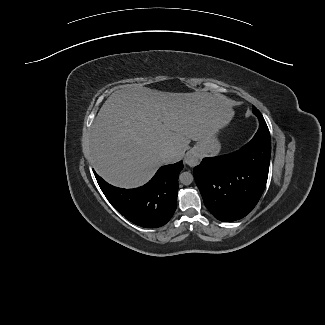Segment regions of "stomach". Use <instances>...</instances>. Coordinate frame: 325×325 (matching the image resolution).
Listing matches in <instances>:
<instances>
[{
	"label": "stomach",
	"instance_id": "obj_1",
	"mask_svg": "<svg viewBox=\"0 0 325 325\" xmlns=\"http://www.w3.org/2000/svg\"><path fill=\"white\" fill-rule=\"evenodd\" d=\"M196 152L200 156L215 155L220 150V143L215 134H211L203 138L196 146Z\"/></svg>",
	"mask_w": 325,
	"mask_h": 325
}]
</instances>
